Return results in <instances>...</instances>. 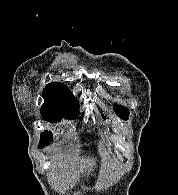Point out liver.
<instances>
[{
	"label": "liver",
	"mask_w": 178,
	"mask_h": 195,
	"mask_svg": "<svg viewBox=\"0 0 178 195\" xmlns=\"http://www.w3.org/2000/svg\"><path fill=\"white\" fill-rule=\"evenodd\" d=\"M58 165H59V166H61V165H62V162H61V161H59V162H58Z\"/></svg>",
	"instance_id": "6515ba94"
}]
</instances>
